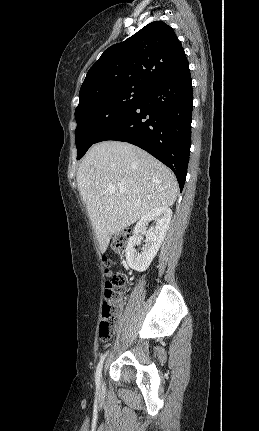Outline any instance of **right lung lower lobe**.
Instances as JSON below:
<instances>
[{
    "label": "right lung lower lobe",
    "instance_id": "obj_1",
    "mask_svg": "<svg viewBox=\"0 0 259 431\" xmlns=\"http://www.w3.org/2000/svg\"><path fill=\"white\" fill-rule=\"evenodd\" d=\"M193 91L189 66L149 87L141 99L96 141L134 144L175 173L180 190L191 146Z\"/></svg>",
    "mask_w": 259,
    "mask_h": 431
}]
</instances>
